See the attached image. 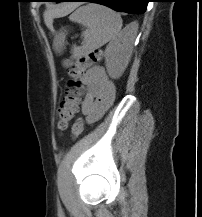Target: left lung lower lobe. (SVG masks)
<instances>
[{
	"label": "left lung lower lobe",
	"mask_w": 202,
	"mask_h": 217,
	"mask_svg": "<svg viewBox=\"0 0 202 217\" xmlns=\"http://www.w3.org/2000/svg\"><path fill=\"white\" fill-rule=\"evenodd\" d=\"M93 2L108 6L119 12L144 13L149 0H55V2Z\"/></svg>",
	"instance_id": "1"
}]
</instances>
